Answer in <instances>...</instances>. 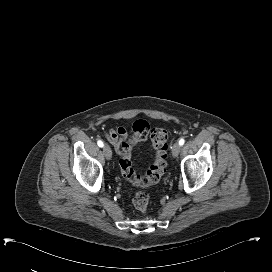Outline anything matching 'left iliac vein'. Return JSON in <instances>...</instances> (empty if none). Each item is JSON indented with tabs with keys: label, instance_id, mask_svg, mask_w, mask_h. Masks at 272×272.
Wrapping results in <instances>:
<instances>
[{
	"label": "left iliac vein",
	"instance_id": "obj_1",
	"mask_svg": "<svg viewBox=\"0 0 272 272\" xmlns=\"http://www.w3.org/2000/svg\"><path fill=\"white\" fill-rule=\"evenodd\" d=\"M180 149H181V146L179 145V143H175L172 147V155L174 157H177L180 153Z\"/></svg>",
	"mask_w": 272,
	"mask_h": 272
}]
</instances>
